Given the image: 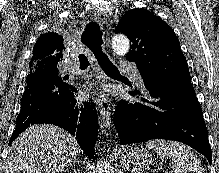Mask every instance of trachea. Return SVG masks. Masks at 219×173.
Wrapping results in <instances>:
<instances>
[{
  "label": "trachea",
  "mask_w": 219,
  "mask_h": 173,
  "mask_svg": "<svg viewBox=\"0 0 219 173\" xmlns=\"http://www.w3.org/2000/svg\"><path fill=\"white\" fill-rule=\"evenodd\" d=\"M102 30L97 22H89L86 24L85 30L82 33V42L89 48L102 70L110 75H119L120 72L110 61L108 56L102 50ZM80 67L85 69L89 66L88 58L81 54L79 55Z\"/></svg>",
  "instance_id": "1"
}]
</instances>
